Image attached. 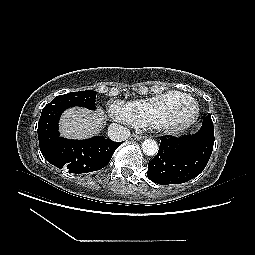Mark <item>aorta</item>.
Masks as SVG:
<instances>
[{"label": "aorta", "mask_w": 255, "mask_h": 255, "mask_svg": "<svg viewBox=\"0 0 255 255\" xmlns=\"http://www.w3.org/2000/svg\"><path fill=\"white\" fill-rule=\"evenodd\" d=\"M143 153L147 156H154L157 154L159 146L157 142L153 139H146L143 141L142 145Z\"/></svg>", "instance_id": "aorta-1"}]
</instances>
